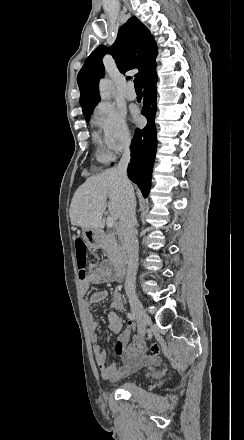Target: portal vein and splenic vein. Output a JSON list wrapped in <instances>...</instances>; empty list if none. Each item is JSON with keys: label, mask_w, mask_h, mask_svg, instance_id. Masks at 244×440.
Segmentation results:
<instances>
[{"label": "portal vein and splenic vein", "mask_w": 244, "mask_h": 440, "mask_svg": "<svg viewBox=\"0 0 244 440\" xmlns=\"http://www.w3.org/2000/svg\"><path fill=\"white\" fill-rule=\"evenodd\" d=\"M115 222H116V218H111V216H108L106 220V226H108V228H113Z\"/></svg>", "instance_id": "18ae733b"}]
</instances>
